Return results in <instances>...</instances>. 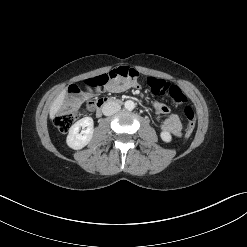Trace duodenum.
Returning a JSON list of instances; mask_svg holds the SVG:
<instances>
[{"label":"duodenum","instance_id":"duodenum-1","mask_svg":"<svg viewBox=\"0 0 247 247\" xmlns=\"http://www.w3.org/2000/svg\"><path fill=\"white\" fill-rule=\"evenodd\" d=\"M121 104V101L115 98H102L97 101L96 105V116L100 117L103 113V110L111 105Z\"/></svg>","mask_w":247,"mask_h":247}]
</instances>
